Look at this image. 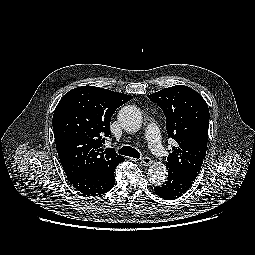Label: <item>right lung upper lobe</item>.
<instances>
[{"label":"right lung upper lobe","mask_w":255,"mask_h":255,"mask_svg":"<svg viewBox=\"0 0 255 255\" xmlns=\"http://www.w3.org/2000/svg\"><path fill=\"white\" fill-rule=\"evenodd\" d=\"M132 96L94 86L70 90L53 115V131L59 159L68 176L103 174L124 158L112 148L102 149L103 137H111L115 110Z\"/></svg>","instance_id":"cb5924a9"}]
</instances>
